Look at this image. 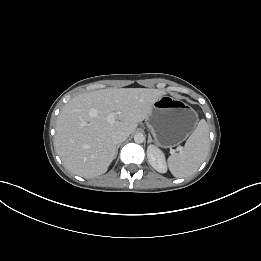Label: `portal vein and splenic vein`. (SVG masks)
Masks as SVG:
<instances>
[{
  "instance_id": "1",
  "label": "portal vein and splenic vein",
  "mask_w": 261,
  "mask_h": 261,
  "mask_svg": "<svg viewBox=\"0 0 261 261\" xmlns=\"http://www.w3.org/2000/svg\"><path fill=\"white\" fill-rule=\"evenodd\" d=\"M115 118H116V113H110L108 116H107V120L108 122L110 123H113L115 121ZM172 152H174V150H172Z\"/></svg>"
}]
</instances>
